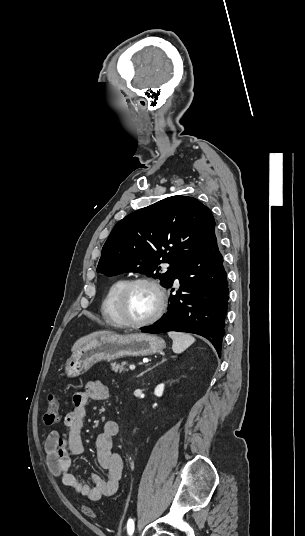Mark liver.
Listing matches in <instances>:
<instances>
[{
    "instance_id": "6515ba94",
    "label": "liver",
    "mask_w": 305,
    "mask_h": 536,
    "mask_svg": "<svg viewBox=\"0 0 305 536\" xmlns=\"http://www.w3.org/2000/svg\"><path fill=\"white\" fill-rule=\"evenodd\" d=\"M104 334H112V332H93V334H89V336H84V338H80V340L75 342L71 352H75V350H78V348H81L84 344H88L90 340H94V338H98V336H104Z\"/></svg>"
}]
</instances>
